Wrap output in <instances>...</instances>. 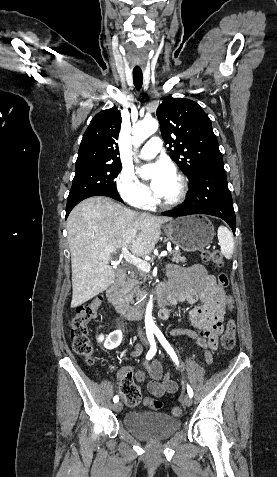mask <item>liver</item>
<instances>
[{
  "instance_id": "1",
  "label": "liver",
  "mask_w": 277,
  "mask_h": 477,
  "mask_svg": "<svg viewBox=\"0 0 277 477\" xmlns=\"http://www.w3.org/2000/svg\"><path fill=\"white\" fill-rule=\"evenodd\" d=\"M171 220L144 216L103 196L79 203L67 219L71 307L85 303L114 283L115 271L109 265L113 252L126 246L135 256L149 254L160 238L162 224Z\"/></svg>"
}]
</instances>
